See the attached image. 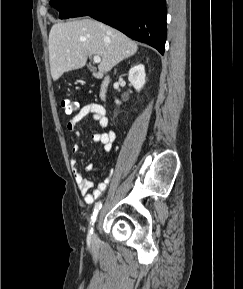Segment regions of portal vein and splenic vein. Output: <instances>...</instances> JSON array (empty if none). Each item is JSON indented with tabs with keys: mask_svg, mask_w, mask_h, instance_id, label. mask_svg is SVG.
Instances as JSON below:
<instances>
[{
	"mask_svg": "<svg viewBox=\"0 0 243 289\" xmlns=\"http://www.w3.org/2000/svg\"><path fill=\"white\" fill-rule=\"evenodd\" d=\"M93 61H94L95 63H100V62H101V57H100V56H94V57H93Z\"/></svg>",
	"mask_w": 243,
	"mask_h": 289,
	"instance_id": "18ae733b",
	"label": "portal vein and splenic vein"
}]
</instances>
